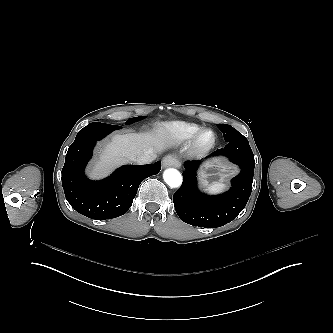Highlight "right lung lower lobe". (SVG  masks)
Wrapping results in <instances>:
<instances>
[{"label":"right lung lower lobe","instance_id":"obj_1","mask_svg":"<svg viewBox=\"0 0 333 333\" xmlns=\"http://www.w3.org/2000/svg\"><path fill=\"white\" fill-rule=\"evenodd\" d=\"M121 126L92 122L81 129L66 154L62 169V185L69 204L92 219H111L125 214L132 205L140 183L157 174L161 162L147 165H126L110 177L91 181L84 168L97 141Z\"/></svg>","mask_w":333,"mask_h":333}]
</instances>
